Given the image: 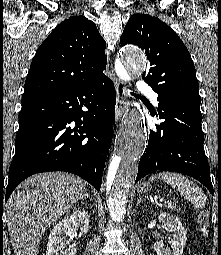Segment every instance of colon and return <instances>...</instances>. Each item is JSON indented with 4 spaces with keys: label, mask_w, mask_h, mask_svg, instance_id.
Returning a JSON list of instances; mask_svg holds the SVG:
<instances>
[{
    "label": "colon",
    "mask_w": 221,
    "mask_h": 255,
    "mask_svg": "<svg viewBox=\"0 0 221 255\" xmlns=\"http://www.w3.org/2000/svg\"><path fill=\"white\" fill-rule=\"evenodd\" d=\"M198 224L203 235L209 232V215L207 211H201L198 215Z\"/></svg>",
    "instance_id": "obj_1"
}]
</instances>
